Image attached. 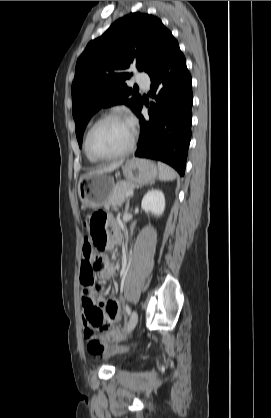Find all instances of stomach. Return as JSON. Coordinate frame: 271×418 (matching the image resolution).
<instances>
[{
	"instance_id": "obj_1",
	"label": "stomach",
	"mask_w": 271,
	"mask_h": 418,
	"mask_svg": "<svg viewBox=\"0 0 271 418\" xmlns=\"http://www.w3.org/2000/svg\"><path fill=\"white\" fill-rule=\"evenodd\" d=\"M122 172L127 182L145 185L158 176L154 162L147 159H132L122 164ZM114 181L105 174H92L81 177L78 183V195L84 208L102 207L110 197Z\"/></svg>"
}]
</instances>
